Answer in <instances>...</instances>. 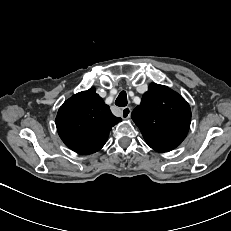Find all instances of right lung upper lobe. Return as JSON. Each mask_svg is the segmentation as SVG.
Segmentation results:
<instances>
[{
    "instance_id": "right-lung-upper-lobe-1",
    "label": "right lung upper lobe",
    "mask_w": 231,
    "mask_h": 231,
    "mask_svg": "<svg viewBox=\"0 0 231 231\" xmlns=\"http://www.w3.org/2000/svg\"><path fill=\"white\" fill-rule=\"evenodd\" d=\"M121 121L96 94L95 88L82 91L66 100L56 117L62 141L79 154L99 151L107 141L111 128Z\"/></svg>"
}]
</instances>
